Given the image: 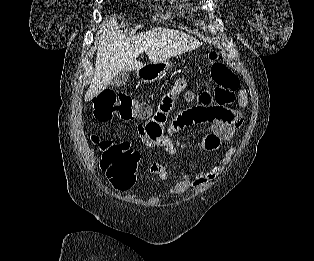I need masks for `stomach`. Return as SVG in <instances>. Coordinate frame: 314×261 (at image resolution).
Here are the masks:
<instances>
[{
    "label": "stomach",
    "instance_id": "stomach-1",
    "mask_svg": "<svg viewBox=\"0 0 314 261\" xmlns=\"http://www.w3.org/2000/svg\"><path fill=\"white\" fill-rule=\"evenodd\" d=\"M171 66L169 60L150 62L137 70V77L143 83H152L160 79Z\"/></svg>",
    "mask_w": 314,
    "mask_h": 261
}]
</instances>
